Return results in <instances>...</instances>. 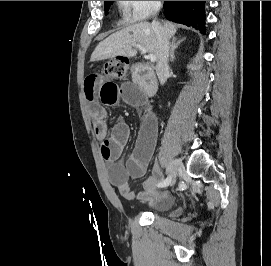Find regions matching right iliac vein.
I'll return each instance as SVG.
<instances>
[{
	"label": "right iliac vein",
	"mask_w": 271,
	"mask_h": 266,
	"mask_svg": "<svg viewBox=\"0 0 271 266\" xmlns=\"http://www.w3.org/2000/svg\"><path fill=\"white\" fill-rule=\"evenodd\" d=\"M182 164L179 160L175 159L172 160L168 166V172H169V176L171 178V182L170 184L174 183V180L176 178L177 172L182 170Z\"/></svg>",
	"instance_id": "1"
}]
</instances>
